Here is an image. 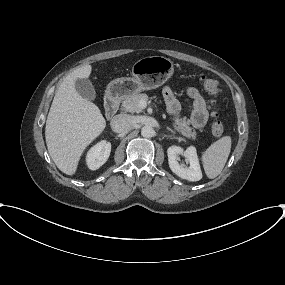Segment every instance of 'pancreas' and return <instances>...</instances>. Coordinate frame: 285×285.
Masks as SVG:
<instances>
[{
	"label": "pancreas",
	"mask_w": 285,
	"mask_h": 285,
	"mask_svg": "<svg viewBox=\"0 0 285 285\" xmlns=\"http://www.w3.org/2000/svg\"><path fill=\"white\" fill-rule=\"evenodd\" d=\"M148 98L149 97L144 93L127 96L122 102V108L126 112L130 113L142 112L143 109L139 107V102L141 100L147 101ZM172 120L174 121L173 127L177 132L187 138H191L193 140L196 139L197 132L195 131V129L190 127V120L186 119L185 117L180 118L179 116L172 118Z\"/></svg>",
	"instance_id": "pancreas-1"
}]
</instances>
